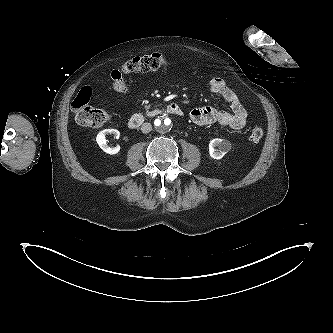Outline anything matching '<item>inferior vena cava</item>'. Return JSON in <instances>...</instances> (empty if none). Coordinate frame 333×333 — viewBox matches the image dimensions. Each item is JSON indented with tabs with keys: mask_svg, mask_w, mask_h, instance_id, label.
Wrapping results in <instances>:
<instances>
[{
	"mask_svg": "<svg viewBox=\"0 0 333 333\" xmlns=\"http://www.w3.org/2000/svg\"><path fill=\"white\" fill-rule=\"evenodd\" d=\"M152 130V125L148 122L143 123L141 126V131L143 133H149Z\"/></svg>",
	"mask_w": 333,
	"mask_h": 333,
	"instance_id": "602c4592",
	"label": "inferior vena cava"
}]
</instances>
